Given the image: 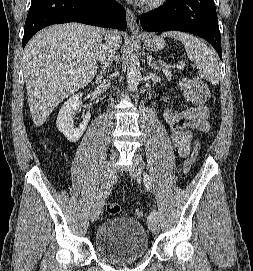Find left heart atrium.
<instances>
[{"instance_id":"left-heart-atrium-1","label":"left heart atrium","mask_w":253,"mask_h":271,"mask_svg":"<svg viewBox=\"0 0 253 271\" xmlns=\"http://www.w3.org/2000/svg\"><path fill=\"white\" fill-rule=\"evenodd\" d=\"M136 1H138V2H145L146 0H136Z\"/></svg>"}]
</instances>
